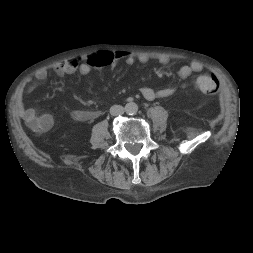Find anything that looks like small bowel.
Returning a JSON list of instances; mask_svg holds the SVG:
<instances>
[{
	"label": "small bowel",
	"instance_id": "1",
	"mask_svg": "<svg viewBox=\"0 0 253 253\" xmlns=\"http://www.w3.org/2000/svg\"><path fill=\"white\" fill-rule=\"evenodd\" d=\"M123 60L127 65H134L136 60L145 64L149 61V57L145 54L140 55L137 59L131 54H122L118 52H100L89 56L85 61L70 60L57 64L54 67L55 73L64 77L73 73L79 72L82 75H87L92 71L100 70L106 66L116 64L118 61ZM161 64L169 63L168 57H160ZM202 69L201 63L192 61L187 65L180 67L176 71V76L185 79L192 76L194 73ZM47 77V71L42 69L36 73V78L43 80ZM176 87H166L162 89H154L149 86H143L141 93L147 100H154L156 98H165L173 95L176 92ZM101 115L99 110H72L70 116L73 120L78 122H89L95 120ZM22 118L26 125L39 132H46L53 126L54 120L51 114L41 113L35 108H27L22 112Z\"/></svg>",
	"mask_w": 253,
	"mask_h": 253
}]
</instances>
